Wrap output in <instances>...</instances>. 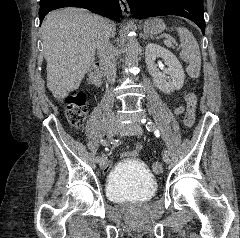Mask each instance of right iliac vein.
<instances>
[{
	"mask_svg": "<svg viewBox=\"0 0 240 238\" xmlns=\"http://www.w3.org/2000/svg\"><path fill=\"white\" fill-rule=\"evenodd\" d=\"M122 130H123L122 125L119 122L113 120L107 129L108 141L112 140L115 135L122 133ZM106 163H107V157L103 155L101 157V160L99 161V165L101 168H104Z\"/></svg>",
	"mask_w": 240,
	"mask_h": 238,
	"instance_id": "63e3f726",
	"label": "right iliac vein"
}]
</instances>
